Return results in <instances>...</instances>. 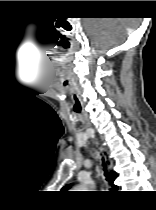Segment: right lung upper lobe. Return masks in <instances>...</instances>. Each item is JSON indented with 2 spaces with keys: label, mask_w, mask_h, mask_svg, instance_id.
Listing matches in <instances>:
<instances>
[{
  "label": "right lung upper lobe",
  "mask_w": 156,
  "mask_h": 210,
  "mask_svg": "<svg viewBox=\"0 0 156 210\" xmlns=\"http://www.w3.org/2000/svg\"><path fill=\"white\" fill-rule=\"evenodd\" d=\"M115 178H116V173L111 172V173H110V181H111V183L114 182ZM113 186H114V185H113ZM67 187H69V186H67Z\"/></svg>",
  "instance_id": "1"
}]
</instances>
